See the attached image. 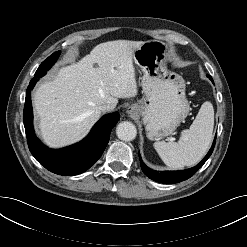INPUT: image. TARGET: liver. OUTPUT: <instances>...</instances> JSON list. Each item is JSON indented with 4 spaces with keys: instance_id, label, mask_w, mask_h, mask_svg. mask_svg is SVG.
I'll return each mask as SVG.
<instances>
[{
    "instance_id": "liver-1",
    "label": "liver",
    "mask_w": 247,
    "mask_h": 247,
    "mask_svg": "<svg viewBox=\"0 0 247 247\" xmlns=\"http://www.w3.org/2000/svg\"><path fill=\"white\" fill-rule=\"evenodd\" d=\"M144 42L100 43L78 62L62 67L52 81L41 84L33 97L40 135L52 148L82 140L99 120V106L138 93L133 53ZM97 64L98 67H94Z\"/></svg>"
}]
</instances>
